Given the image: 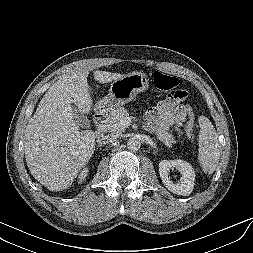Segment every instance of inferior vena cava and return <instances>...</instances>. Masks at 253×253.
<instances>
[{"label":"inferior vena cava","instance_id":"602c4592","mask_svg":"<svg viewBox=\"0 0 253 253\" xmlns=\"http://www.w3.org/2000/svg\"><path fill=\"white\" fill-rule=\"evenodd\" d=\"M117 140L116 135H106L98 139L99 144H108V143H113Z\"/></svg>","mask_w":253,"mask_h":253}]
</instances>
